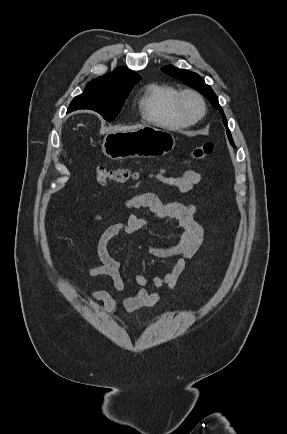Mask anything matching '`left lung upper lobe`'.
<instances>
[{
    "label": "left lung upper lobe",
    "instance_id": "5c2ea615",
    "mask_svg": "<svg viewBox=\"0 0 287 434\" xmlns=\"http://www.w3.org/2000/svg\"><path fill=\"white\" fill-rule=\"evenodd\" d=\"M164 73L177 78L183 82H185L186 84H188L189 86L193 87L194 89L198 90L199 92H201L204 96L207 97V99L209 101H211V104L218 109L222 115H224L223 110L221 108V106L218 103V98L215 95V93L213 92V90L211 89V87L209 85H207L204 82V79H202L198 74L187 71L185 69H178L174 66H165L161 69ZM223 122L224 125L227 129V135H228V139L230 141V143L234 146V142L233 139L231 137V133L228 129L227 126V121L226 118L223 117Z\"/></svg>",
    "mask_w": 287,
    "mask_h": 434
}]
</instances>
